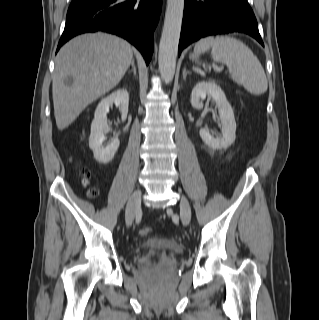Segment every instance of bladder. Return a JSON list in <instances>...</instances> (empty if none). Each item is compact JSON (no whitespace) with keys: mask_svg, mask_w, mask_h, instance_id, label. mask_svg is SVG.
<instances>
[{"mask_svg":"<svg viewBox=\"0 0 319 320\" xmlns=\"http://www.w3.org/2000/svg\"><path fill=\"white\" fill-rule=\"evenodd\" d=\"M148 248H157L163 250H169L174 252L175 254H182L183 248L181 245L176 243L175 241L166 238L164 236H155L153 238H149L144 240L138 247V251L148 249Z\"/></svg>","mask_w":319,"mask_h":320,"instance_id":"bladder-1","label":"bladder"}]
</instances>
